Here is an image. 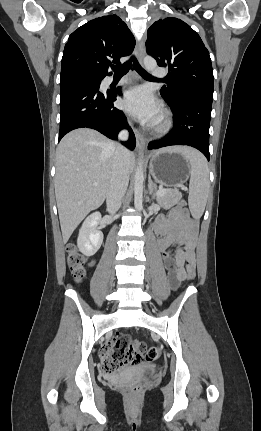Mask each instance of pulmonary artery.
I'll use <instances>...</instances> for the list:
<instances>
[{
	"label": "pulmonary artery",
	"mask_w": 261,
	"mask_h": 431,
	"mask_svg": "<svg viewBox=\"0 0 261 431\" xmlns=\"http://www.w3.org/2000/svg\"><path fill=\"white\" fill-rule=\"evenodd\" d=\"M166 74H167V72H166V70L165 69H163V68H155L154 70H153V75L156 77V78H163V77H165L166 76ZM129 81V79L128 78H123V79H121L120 81H119V83L120 84H122V83H126V82H128ZM113 82V80H109V83H112Z\"/></svg>",
	"instance_id": "1"
}]
</instances>
